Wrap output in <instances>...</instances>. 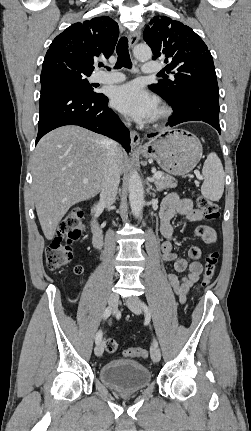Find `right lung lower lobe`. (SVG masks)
Listing matches in <instances>:
<instances>
[{
    "mask_svg": "<svg viewBox=\"0 0 251 431\" xmlns=\"http://www.w3.org/2000/svg\"><path fill=\"white\" fill-rule=\"evenodd\" d=\"M37 142L49 131L64 125H78L119 141L130 151L129 130L108 107L101 93H87L73 85L52 81L41 84Z\"/></svg>",
    "mask_w": 251,
    "mask_h": 431,
    "instance_id": "1",
    "label": "right lung lower lobe"
}]
</instances>
